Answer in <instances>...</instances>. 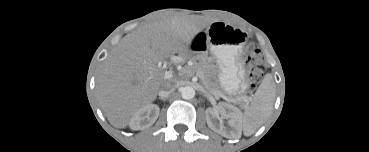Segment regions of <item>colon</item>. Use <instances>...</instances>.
I'll use <instances>...</instances> for the list:
<instances>
[{
    "label": "colon",
    "mask_w": 369,
    "mask_h": 152,
    "mask_svg": "<svg viewBox=\"0 0 369 152\" xmlns=\"http://www.w3.org/2000/svg\"><path fill=\"white\" fill-rule=\"evenodd\" d=\"M245 64L248 70V75L253 84L257 83L264 72L263 56L259 49H253L246 57Z\"/></svg>",
    "instance_id": "obj_1"
}]
</instances>
